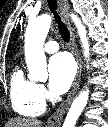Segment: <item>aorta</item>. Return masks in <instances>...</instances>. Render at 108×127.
<instances>
[{"instance_id":"1","label":"aorta","mask_w":108,"mask_h":127,"mask_svg":"<svg viewBox=\"0 0 108 127\" xmlns=\"http://www.w3.org/2000/svg\"><path fill=\"white\" fill-rule=\"evenodd\" d=\"M70 16L77 28L84 57L89 58L90 44L86 36V29L76 14L72 13ZM50 26L51 16L43 14L34 20H30L26 28L24 40L25 60L29 70V78L32 81H45L48 78L43 46ZM88 97L89 89L86 87L72 102L63 127H75L78 117L87 104Z\"/></svg>"}]
</instances>
